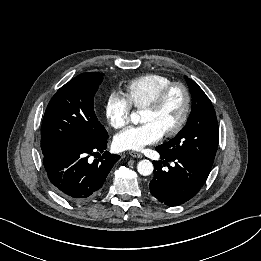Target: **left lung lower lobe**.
<instances>
[{
  "label": "left lung lower lobe",
  "instance_id": "0a47b994",
  "mask_svg": "<svg viewBox=\"0 0 261 261\" xmlns=\"http://www.w3.org/2000/svg\"><path fill=\"white\" fill-rule=\"evenodd\" d=\"M161 161H154V177L150 181L151 194L167 206H178L193 198L204 185L210 169L193 163L183 155H167L156 148ZM174 161L175 166L168 171L162 169V164L167 165Z\"/></svg>",
  "mask_w": 261,
  "mask_h": 261
}]
</instances>
